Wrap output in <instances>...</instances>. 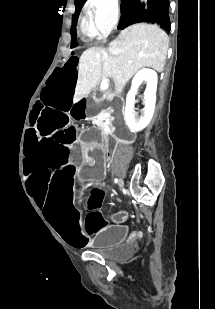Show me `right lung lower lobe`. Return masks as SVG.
I'll use <instances>...</instances> for the list:
<instances>
[{"label": "right lung lower lobe", "mask_w": 215, "mask_h": 309, "mask_svg": "<svg viewBox=\"0 0 215 309\" xmlns=\"http://www.w3.org/2000/svg\"><path fill=\"white\" fill-rule=\"evenodd\" d=\"M138 22H150L170 31L169 0H132L121 11L118 27L125 28Z\"/></svg>", "instance_id": "right-lung-lower-lobe-1"}]
</instances>
